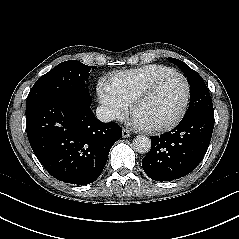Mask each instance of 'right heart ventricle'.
<instances>
[{
	"label": "right heart ventricle",
	"mask_w": 239,
	"mask_h": 239,
	"mask_svg": "<svg viewBox=\"0 0 239 239\" xmlns=\"http://www.w3.org/2000/svg\"><path fill=\"white\" fill-rule=\"evenodd\" d=\"M171 68L159 64H148L135 69L114 73L110 77L111 85L117 94L131 104L136 94L155 77Z\"/></svg>",
	"instance_id": "e07e8e85"
}]
</instances>
